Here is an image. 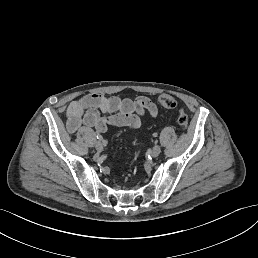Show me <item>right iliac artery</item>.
<instances>
[{
	"label": "right iliac artery",
	"mask_w": 258,
	"mask_h": 258,
	"mask_svg": "<svg viewBox=\"0 0 258 258\" xmlns=\"http://www.w3.org/2000/svg\"><path fill=\"white\" fill-rule=\"evenodd\" d=\"M96 137H97V139L100 140V141L103 139V137H102L101 135H99V134H98Z\"/></svg>",
	"instance_id": "1"
}]
</instances>
